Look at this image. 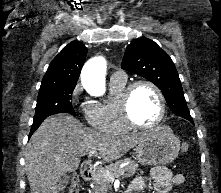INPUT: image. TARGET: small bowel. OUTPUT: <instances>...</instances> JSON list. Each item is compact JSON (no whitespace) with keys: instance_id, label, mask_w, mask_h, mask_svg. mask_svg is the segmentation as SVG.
I'll return each mask as SVG.
<instances>
[{"instance_id":"obj_1","label":"small bowel","mask_w":221,"mask_h":193,"mask_svg":"<svg viewBox=\"0 0 221 193\" xmlns=\"http://www.w3.org/2000/svg\"><path fill=\"white\" fill-rule=\"evenodd\" d=\"M149 178L153 180V189L156 193H168L174 186L182 185L185 182V176L183 174H174L165 166L152 168ZM145 184V176H136L130 184V193H141Z\"/></svg>"}]
</instances>
